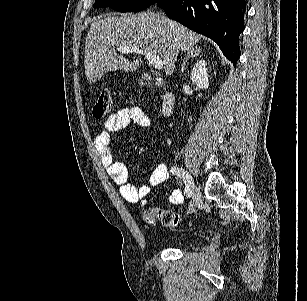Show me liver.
Segmentation results:
<instances>
[{"label":"liver","instance_id":"liver-1","mask_svg":"<svg viewBox=\"0 0 307 301\" xmlns=\"http://www.w3.org/2000/svg\"><path fill=\"white\" fill-rule=\"evenodd\" d=\"M200 38L202 34L153 10L123 16L101 14L92 22L86 36L85 76L89 82H96L108 70H138L142 62L140 56H133V60L126 58L128 52L117 54V46H137L157 54L166 74H173L179 50H190Z\"/></svg>","mask_w":307,"mask_h":301}]
</instances>
